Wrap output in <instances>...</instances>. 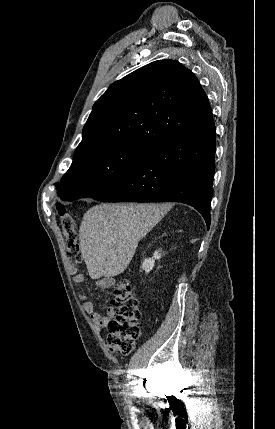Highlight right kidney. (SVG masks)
<instances>
[{
  "label": "right kidney",
  "instance_id": "obj_1",
  "mask_svg": "<svg viewBox=\"0 0 275 429\" xmlns=\"http://www.w3.org/2000/svg\"><path fill=\"white\" fill-rule=\"evenodd\" d=\"M161 258V254L160 251H155L153 254L152 258L149 259H145L142 263V269L146 272L149 273L152 268L154 267V263L156 259H160Z\"/></svg>",
  "mask_w": 275,
  "mask_h": 429
}]
</instances>
